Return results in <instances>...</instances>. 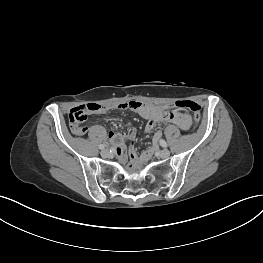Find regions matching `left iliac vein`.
<instances>
[{"label":"left iliac vein","instance_id":"1","mask_svg":"<svg viewBox=\"0 0 263 263\" xmlns=\"http://www.w3.org/2000/svg\"><path fill=\"white\" fill-rule=\"evenodd\" d=\"M169 155H170V151L167 150V149H163V150H161V151L159 152V157H160V158H163V159L168 158Z\"/></svg>","mask_w":263,"mask_h":263}]
</instances>
